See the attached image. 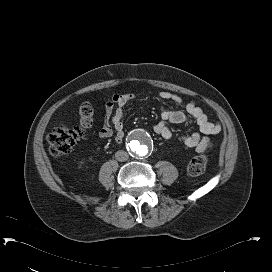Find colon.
Listing matches in <instances>:
<instances>
[{
  "instance_id": "5ec220e1",
  "label": "colon",
  "mask_w": 272,
  "mask_h": 272,
  "mask_svg": "<svg viewBox=\"0 0 272 272\" xmlns=\"http://www.w3.org/2000/svg\"><path fill=\"white\" fill-rule=\"evenodd\" d=\"M79 115L77 123L60 125L48 133L47 139L52 155L61 156L70 153L75 144L89 132L94 123L92 107L89 104H83ZM207 165L208 158L205 155H196L188 164V172L191 175H200L205 172Z\"/></svg>"
}]
</instances>
